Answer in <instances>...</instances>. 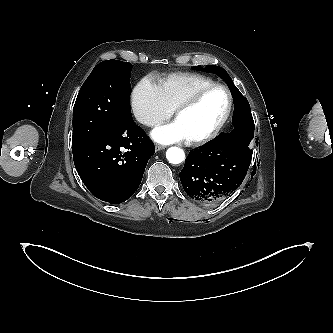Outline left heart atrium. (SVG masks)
<instances>
[{"mask_svg": "<svg viewBox=\"0 0 333 333\" xmlns=\"http://www.w3.org/2000/svg\"><path fill=\"white\" fill-rule=\"evenodd\" d=\"M151 136L155 141L163 144H170L188 139L176 121L157 127L152 131Z\"/></svg>", "mask_w": 333, "mask_h": 333, "instance_id": "obj_1", "label": "left heart atrium"}]
</instances>
